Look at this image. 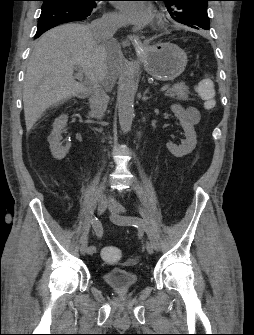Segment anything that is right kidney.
I'll list each match as a JSON object with an SVG mask.
<instances>
[{
    "instance_id": "ca27d5eb",
    "label": "right kidney",
    "mask_w": 254,
    "mask_h": 335,
    "mask_svg": "<svg viewBox=\"0 0 254 335\" xmlns=\"http://www.w3.org/2000/svg\"><path fill=\"white\" fill-rule=\"evenodd\" d=\"M67 121H68L67 115H61L58 118H56L53 123V130L50 136L48 137L51 153L53 157L57 160H62L67 155L71 147L69 143L63 146L61 142L62 140L61 134L67 125Z\"/></svg>"
}]
</instances>
